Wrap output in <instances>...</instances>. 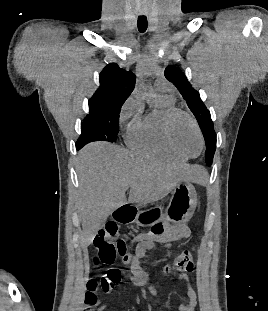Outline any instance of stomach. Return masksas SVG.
<instances>
[{
    "label": "stomach",
    "mask_w": 268,
    "mask_h": 311,
    "mask_svg": "<svg viewBox=\"0 0 268 311\" xmlns=\"http://www.w3.org/2000/svg\"><path fill=\"white\" fill-rule=\"evenodd\" d=\"M197 202V194L194 186L189 181L178 183L172 190L168 214L166 219L175 224H183L192 217ZM158 209L138 211L134 222L138 226H150L157 222Z\"/></svg>",
    "instance_id": "0dacf381"
}]
</instances>
